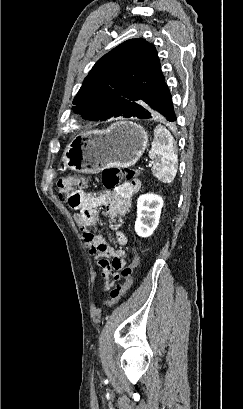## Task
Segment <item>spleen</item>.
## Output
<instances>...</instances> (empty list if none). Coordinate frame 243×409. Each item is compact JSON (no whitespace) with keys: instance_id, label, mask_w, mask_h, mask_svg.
Instances as JSON below:
<instances>
[{"instance_id":"spleen-1","label":"spleen","mask_w":243,"mask_h":409,"mask_svg":"<svg viewBox=\"0 0 243 409\" xmlns=\"http://www.w3.org/2000/svg\"><path fill=\"white\" fill-rule=\"evenodd\" d=\"M149 157L155 161L152 174L164 183H171L177 173L178 156L173 136L162 125L154 129Z\"/></svg>"}]
</instances>
